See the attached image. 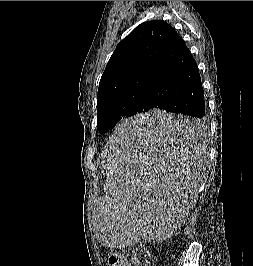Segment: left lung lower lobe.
Wrapping results in <instances>:
<instances>
[{"label":"left lung lower lobe","instance_id":"1","mask_svg":"<svg viewBox=\"0 0 253 266\" xmlns=\"http://www.w3.org/2000/svg\"><path fill=\"white\" fill-rule=\"evenodd\" d=\"M162 109L194 117L186 121L148 125L149 133L171 138H195L202 132L205 101L197 64L183 39L175 33L161 55L147 89L143 111Z\"/></svg>","mask_w":253,"mask_h":266}]
</instances>
